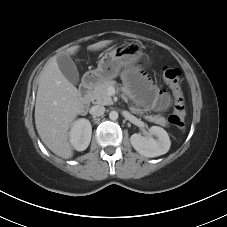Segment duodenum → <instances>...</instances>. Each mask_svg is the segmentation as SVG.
<instances>
[{
    "label": "duodenum",
    "mask_w": 227,
    "mask_h": 227,
    "mask_svg": "<svg viewBox=\"0 0 227 227\" xmlns=\"http://www.w3.org/2000/svg\"><path fill=\"white\" fill-rule=\"evenodd\" d=\"M94 84V77L91 75H87L84 77L81 87H80V102H79V108L83 109L85 108L89 103V92Z\"/></svg>",
    "instance_id": "duodenum-1"
}]
</instances>
